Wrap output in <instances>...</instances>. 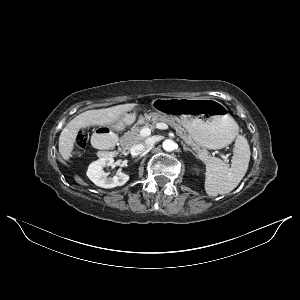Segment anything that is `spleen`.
Instances as JSON below:
<instances>
[{
    "mask_svg": "<svg viewBox=\"0 0 300 300\" xmlns=\"http://www.w3.org/2000/svg\"><path fill=\"white\" fill-rule=\"evenodd\" d=\"M250 155V147L246 138L238 135L230 167L221 159L212 157L206 164L205 191L207 195L216 197L218 194H227L234 190L247 172Z\"/></svg>",
    "mask_w": 300,
    "mask_h": 300,
    "instance_id": "spleen-1",
    "label": "spleen"
}]
</instances>
